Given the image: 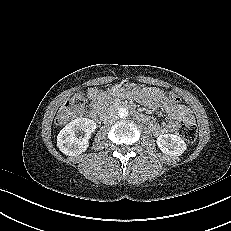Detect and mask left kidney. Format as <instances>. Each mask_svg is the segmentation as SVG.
Returning <instances> with one entry per match:
<instances>
[{
  "mask_svg": "<svg viewBox=\"0 0 231 231\" xmlns=\"http://www.w3.org/2000/svg\"><path fill=\"white\" fill-rule=\"evenodd\" d=\"M156 143L159 149L169 156H180L187 149L185 141L174 134L160 135Z\"/></svg>",
  "mask_w": 231,
  "mask_h": 231,
  "instance_id": "obj_1",
  "label": "left kidney"
}]
</instances>
